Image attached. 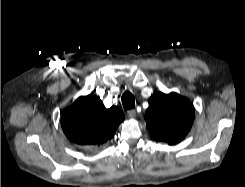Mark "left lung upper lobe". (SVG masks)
Wrapping results in <instances>:
<instances>
[{"instance_id":"left-lung-upper-lobe-1","label":"left lung upper lobe","mask_w":245,"mask_h":187,"mask_svg":"<svg viewBox=\"0 0 245 187\" xmlns=\"http://www.w3.org/2000/svg\"><path fill=\"white\" fill-rule=\"evenodd\" d=\"M194 116V107L187 98L157 92L149 99L145 121L153 139L174 145L188 134Z\"/></svg>"}]
</instances>
